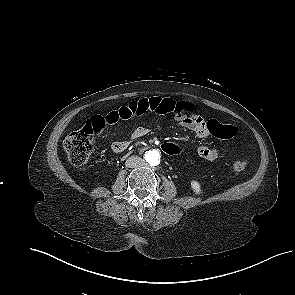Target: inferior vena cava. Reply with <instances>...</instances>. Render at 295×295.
<instances>
[{
    "mask_svg": "<svg viewBox=\"0 0 295 295\" xmlns=\"http://www.w3.org/2000/svg\"><path fill=\"white\" fill-rule=\"evenodd\" d=\"M142 163H143V160L140 157L131 156L126 160L125 165L128 168H136V167H139Z\"/></svg>",
    "mask_w": 295,
    "mask_h": 295,
    "instance_id": "602c4592",
    "label": "inferior vena cava"
}]
</instances>
